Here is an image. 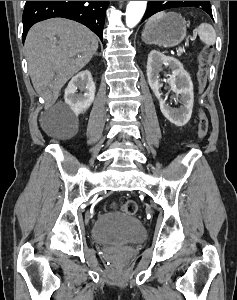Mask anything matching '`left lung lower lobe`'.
I'll use <instances>...</instances> for the list:
<instances>
[{"mask_svg": "<svg viewBox=\"0 0 237 300\" xmlns=\"http://www.w3.org/2000/svg\"><path fill=\"white\" fill-rule=\"evenodd\" d=\"M208 14H209L211 17H213V16H212V11H211V10L208 12Z\"/></svg>", "mask_w": 237, "mask_h": 300, "instance_id": "obj_1", "label": "left lung lower lobe"}]
</instances>
